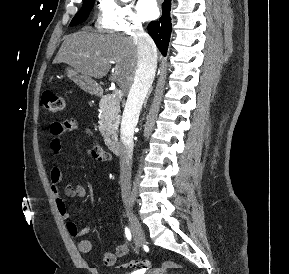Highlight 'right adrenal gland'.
Masks as SVG:
<instances>
[{
	"label": "right adrenal gland",
	"mask_w": 289,
	"mask_h": 274,
	"mask_svg": "<svg viewBox=\"0 0 289 274\" xmlns=\"http://www.w3.org/2000/svg\"><path fill=\"white\" fill-rule=\"evenodd\" d=\"M152 89H153V87H151V89L149 90V93H148V95H147V97H146V99H145V102H144V107H146L147 100H148V97H149V95H150Z\"/></svg>",
	"instance_id": "obj_1"
}]
</instances>
